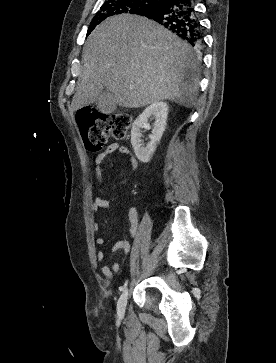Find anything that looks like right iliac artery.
I'll use <instances>...</instances> for the list:
<instances>
[{
  "instance_id": "1",
  "label": "right iliac artery",
  "mask_w": 276,
  "mask_h": 363,
  "mask_svg": "<svg viewBox=\"0 0 276 363\" xmlns=\"http://www.w3.org/2000/svg\"><path fill=\"white\" fill-rule=\"evenodd\" d=\"M127 284H128V281H126L122 286H120L119 290L123 291L126 288Z\"/></svg>"
}]
</instances>
